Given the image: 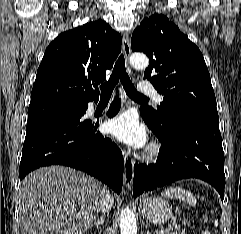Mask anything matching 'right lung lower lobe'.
<instances>
[{"instance_id": "obj_1", "label": "right lung lower lobe", "mask_w": 241, "mask_h": 234, "mask_svg": "<svg viewBox=\"0 0 241 234\" xmlns=\"http://www.w3.org/2000/svg\"><path fill=\"white\" fill-rule=\"evenodd\" d=\"M120 104L118 98L114 100L108 117L119 112ZM87 108L84 104L73 113L28 119L20 179L39 167L66 165L96 177L117 194L121 192L124 166L121 150L96 131L99 120L83 118Z\"/></svg>"}]
</instances>
